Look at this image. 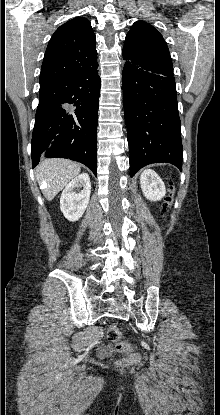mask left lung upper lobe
I'll return each instance as SVG.
<instances>
[{
    "label": "left lung upper lobe",
    "instance_id": "obj_1",
    "mask_svg": "<svg viewBox=\"0 0 220 415\" xmlns=\"http://www.w3.org/2000/svg\"><path fill=\"white\" fill-rule=\"evenodd\" d=\"M123 58L136 65L173 71L169 49L162 35L143 21L135 22L127 33Z\"/></svg>",
    "mask_w": 220,
    "mask_h": 415
}]
</instances>
